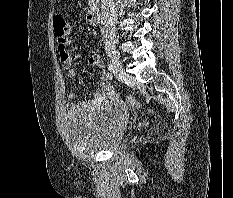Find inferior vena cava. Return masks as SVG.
Here are the masks:
<instances>
[{
  "instance_id": "obj_1",
  "label": "inferior vena cava",
  "mask_w": 233,
  "mask_h": 198,
  "mask_svg": "<svg viewBox=\"0 0 233 198\" xmlns=\"http://www.w3.org/2000/svg\"><path fill=\"white\" fill-rule=\"evenodd\" d=\"M101 32L106 51H114L116 46L117 8L114 0H101Z\"/></svg>"
}]
</instances>
